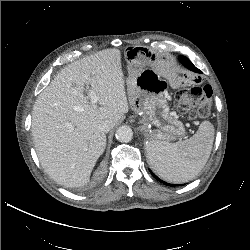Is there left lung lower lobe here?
<instances>
[{
	"instance_id": "1",
	"label": "left lung lower lobe",
	"mask_w": 250,
	"mask_h": 250,
	"mask_svg": "<svg viewBox=\"0 0 250 250\" xmlns=\"http://www.w3.org/2000/svg\"><path fill=\"white\" fill-rule=\"evenodd\" d=\"M179 60L180 62L185 66L187 67L188 69L194 71V72H197V73H201V71L199 69H197L193 64L192 62L185 56H180L179 57ZM150 173L161 183L167 185V186H177V185H173V184H169V183H166L164 181H162L161 179H159L152 171H150Z\"/></svg>"
}]
</instances>
